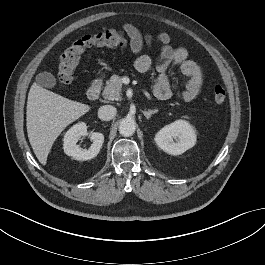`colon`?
Listing matches in <instances>:
<instances>
[{"mask_svg": "<svg viewBox=\"0 0 265 265\" xmlns=\"http://www.w3.org/2000/svg\"><path fill=\"white\" fill-rule=\"evenodd\" d=\"M127 39L121 32L114 30H103L94 34L85 35L69 47L59 56L57 64V81L61 86L69 85L79 66L82 55L89 48L106 47L113 48L125 45ZM226 100V92L221 85L213 89V101L216 106H222Z\"/></svg>", "mask_w": 265, "mask_h": 265, "instance_id": "1", "label": "colon"}]
</instances>
